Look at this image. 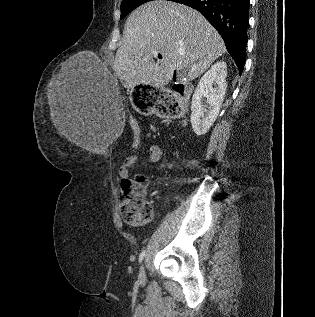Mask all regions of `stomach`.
Instances as JSON below:
<instances>
[{
	"label": "stomach",
	"instance_id": "stomach-1",
	"mask_svg": "<svg viewBox=\"0 0 315 317\" xmlns=\"http://www.w3.org/2000/svg\"><path fill=\"white\" fill-rule=\"evenodd\" d=\"M151 95H161V88H154L153 84H136L132 88L133 104L138 114H153L158 111L157 97Z\"/></svg>",
	"mask_w": 315,
	"mask_h": 317
}]
</instances>
